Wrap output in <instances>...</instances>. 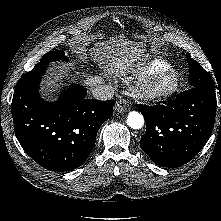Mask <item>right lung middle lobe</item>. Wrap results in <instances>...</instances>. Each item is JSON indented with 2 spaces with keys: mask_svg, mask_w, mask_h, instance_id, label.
<instances>
[{
  "mask_svg": "<svg viewBox=\"0 0 221 221\" xmlns=\"http://www.w3.org/2000/svg\"><path fill=\"white\" fill-rule=\"evenodd\" d=\"M56 60H68V58L65 57V53L62 50L50 51L41 58L34 68L46 66L49 62Z\"/></svg>",
  "mask_w": 221,
  "mask_h": 221,
  "instance_id": "obj_1",
  "label": "right lung middle lobe"
}]
</instances>
